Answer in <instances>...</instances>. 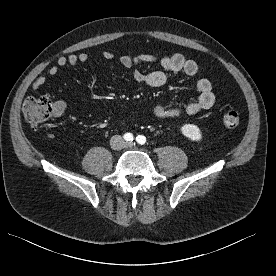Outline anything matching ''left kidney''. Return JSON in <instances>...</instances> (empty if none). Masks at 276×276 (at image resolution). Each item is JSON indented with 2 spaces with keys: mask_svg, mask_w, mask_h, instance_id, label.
<instances>
[{
  "mask_svg": "<svg viewBox=\"0 0 276 276\" xmlns=\"http://www.w3.org/2000/svg\"><path fill=\"white\" fill-rule=\"evenodd\" d=\"M181 132L191 141H200L202 139V133L199 127L194 124H184L181 127Z\"/></svg>",
  "mask_w": 276,
  "mask_h": 276,
  "instance_id": "5707ae66",
  "label": "left kidney"
}]
</instances>
